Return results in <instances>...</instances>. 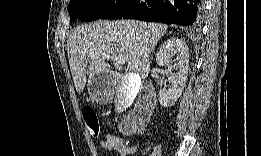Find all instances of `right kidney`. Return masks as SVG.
I'll return each instance as SVG.
<instances>
[{"label":"right kidney","mask_w":261,"mask_h":156,"mask_svg":"<svg viewBox=\"0 0 261 156\" xmlns=\"http://www.w3.org/2000/svg\"><path fill=\"white\" fill-rule=\"evenodd\" d=\"M173 53H177V58L172 61ZM156 61L159 66L173 67L175 73H171L168 77L170 88L159 91V102L163 107H169L175 104L177 99L181 96L187 80L189 68V51L186 43L179 38H171L165 41L156 55ZM128 76H125L122 82H126ZM139 84L136 83L131 95H128L129 100L133 98L138 90Z\"/></svg>","instance_id":"right-kidney-1"}]
</instances>
